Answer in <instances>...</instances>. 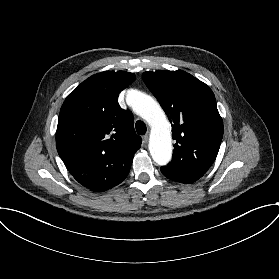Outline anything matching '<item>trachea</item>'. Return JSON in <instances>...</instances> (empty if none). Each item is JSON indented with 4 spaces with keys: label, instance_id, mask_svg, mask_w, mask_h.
Listing matches in <instances>:
<instances>
[{
    "label": "trachea",
    "instance_id": "trachea-1",
    "mask_svg": "<svg viewBox=\"0 0 279 279\" xmlns=\"http://www.w3.org/2000/svg\"><path fill=\"white\" fill-rule=\"evenodd\" d=\"M135 127L138 134L143 135L146 133L147 128L142 121H137Z\"/></svg>",
    "mask_w": 279,
    "mask_h": 279
}]
</instances>
